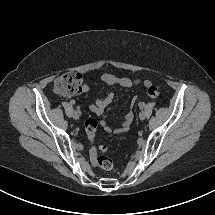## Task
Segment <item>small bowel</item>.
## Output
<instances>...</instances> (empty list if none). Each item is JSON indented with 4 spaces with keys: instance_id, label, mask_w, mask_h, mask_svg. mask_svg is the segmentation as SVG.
<instances>
[{
    "instance_id": "small-bowel-1",
    "label": "small bowel",
    "mask_w": 215,
    "mask_h": 215,
    "mask_svg": "<svg viewBox=\"0 0 215 215\" xmlns=\"http://www.w3.org/2000/svg\"><path fill=\"white\" fill-rule=\"evenodd\" d=\"M101 80L107 85H118L123 88H131L134 85H139L142 83L140 80H132L128 77H117L111 73H103L101 75ZM143 84L145 86H148L150 82L144 81ZM88 90H89L88 85L83 84V92H87ZM113 99H114L113 93H109L102 98H98L89 106V110L95 115H101L105 111V109L112 103ZM136 99L137 97L135 96L133 98V102ZM132 121L133 114L132 112H130L124 117L121 125L117 129H112L108 127L105 122L102 123V127L107 132L127 133L129 132Z\"/></svg>"
}]
</instances>
